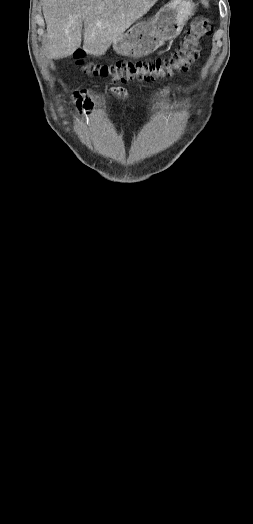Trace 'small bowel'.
I'll return each mask as SVG.
<instances>
[{"instance_id": "obj_1", "label": "small bowel", "mask_w": 253, "mask_h": 524, "mask_svg": "<svg viewBox=\"0 0 253 524\" xmlns=\"http://www.w3.org/2000/svg\"><path fill=\"white\" fill-rule=\"evenodd\" d=\"M111 91L117 95L118 97H126L127 96V92L124 88L122 87H114L111 89ZM73 95H76V92H73ZM84 104H88V100H84L83 101ZM93 117L94 118H102V117H105V112L102 110V109H96L93 111Z\"/></svg>"}]
</instances>
